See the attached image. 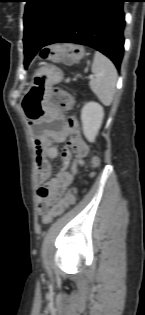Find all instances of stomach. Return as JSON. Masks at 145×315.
I'll list each match as a JSON object with an SVG mask.
<instances>
[{
	"mask_svg": "<svg viewBox=\"0 0 145 315\" xmlns=\"http://www.w3.org/2000/svg\"><path fill=\"white\" fill-rule=\"evenodd\" d=\"M63 79V73L57 68L50 72H34L33 85L22 94L21 105L29 122H44L46 116H54V109L47 105L46 96L52 91L54 83Z\"/></svg>",
	"mask_w": 145,
	"mask_h": 315,
	"instance_id": "0dacf381",
	"label": "stomach"
}]
</instances>
